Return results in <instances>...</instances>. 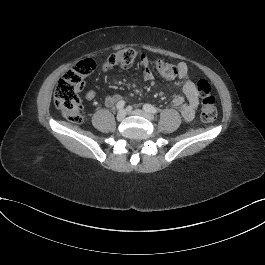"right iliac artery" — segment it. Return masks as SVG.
Here are the masks:
<instances>
[{
	"label": "right iliac artery",
	"mask_w": 265,
	"mask_h": 265,
	"mask_svg": "<svg viewBox=\"0 0 265 265\" xmlns=\"http://www.w3.org/2000/svg\"><path fill=\"white\" fill-rule=\"evenodd\" d=\"M124 106H125V101H123V100L117 102V104H116V108L118 110H122L124 108Z\"/></svg>",
	"instance_id": "right-iliac-artery-1"
}]
</instances>
